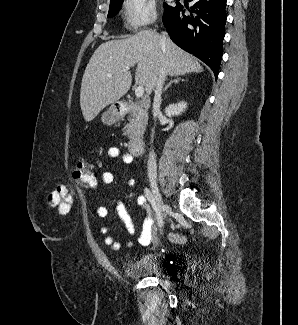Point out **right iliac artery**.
Here are the masks:
<instances>
[{
	"instance_id": "1",
	"label": "right iliac artery",
	"mask_w": 298,
	"mask_h": 325,
	"mask_svg": "<svg viewBox=\"0 0 298 325\" xmlns=\"http://www.w3.org/2000/svg\"><path fill=\"white\" fill-rule=\"evenodd\" d=\"M144 193H145V196L147 197L148 201L151 203V205H152V207H153V209H154V211L156 213L157 224H158V227L160 228L163 225V218H162L161 212L157 208L150 190L148 188H145Z\"/></svg>"
}]
</instances>
